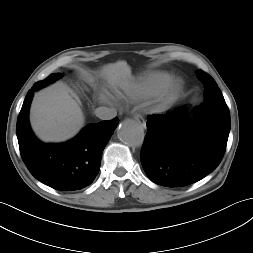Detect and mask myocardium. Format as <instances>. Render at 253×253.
<instances>
[{
	"mask_svg": "<svg viewBox=\"0 0 253 253\" xmlns=\"http://www.w3.org/2000/svg\"><path fill=\"white\" fill-rule=\"evenodd\" d=\"M180 87V83L176 82L162 90L156 99V109L163 110L167 108L175 100Z\"/></svg>",
	"mask_w": 253,
	"mask_h": 253,
	"instance_id": "obj_1",
	"label": "myocardium"
}]
</instances>
